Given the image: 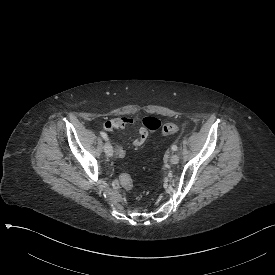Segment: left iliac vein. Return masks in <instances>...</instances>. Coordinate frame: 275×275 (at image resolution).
I'll return each mask as SVG.
<instances>
[{"mask_svg":"<svg viewBox=\"0 0 275 275\" xmlns=\"http://www.w3.org/2000/svg\"><path fill=\"white\" fill-rule=\"evenodd\" d=\"M179 162V156L177 154H173L170 158V163L173 165L178 164Z\"/></svg>","mask_w":275,"mask_h":275,"instance_id":"4c4485c4","label":"left iliac vein"}]
</instances>
